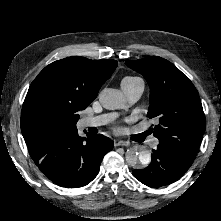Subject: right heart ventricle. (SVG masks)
Segmentation results:
<instances>
[{
    "label": "right heart ventricle",
    "instance_id": "1",
    "mask_svg": "<svg viewBox=\"0 0 221 221\" xmlns=\"http://www.w3.org/2000/svg\"><path fill=\"white\" fill-rule=\"evenodd\" d=\"M138 80H141L140 78L138 77H135V76H127L125 77L121 83L123 82H134V81H138Z\"/></svg>",
    "mask_w": 221,
    "mask_h": 221
}]
</instances>
